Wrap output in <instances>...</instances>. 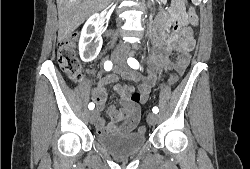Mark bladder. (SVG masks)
Listing matches in <instances>:
<instances>
[{"mask_svg": "<svg viewBox=\"0 0 250 169\" xmlns=\"http://www.w3.org/2000/svg\"><path fill=\"white\" fill-rule=\"evenodd\" d=\"M94 140L97 146L117 158H127L138 154L147 144L146 134L125 132L97 133Z\"/></svg>", "mask_w": 250, "mask_h": 169, "instance_id": "31cf9c89", "label": "bladder"}]
</instances>
